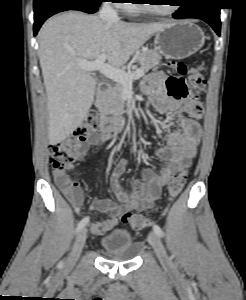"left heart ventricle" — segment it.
Returning a JSON list of instances; mask_svg holds the SVG:
<instances>
[{
	"instance_id": "1",
	"label": "left heart ventricle",
	"mask_w": 246,
	"mask_h": 300,
	"mask_svg": "<svg viewBox=\"0 0 246 300\" xmlns=\"http://www.w3.org/2000/svg\"><path fill=\"white\" fill-rule=\"evenodd\" d=\"M158 2L159 4H149L152 9L160 12H166L169 11L173 6L172 4L174 3L173 1H155Z\"/></svg>"
}]
</instances>
